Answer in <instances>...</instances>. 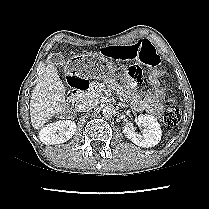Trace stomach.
Returning <instances> with one entry per match:
<instances>
[{
    "label": "stomach",
    "mask_w": 209,
    "mask_h": 209,
    "mask_svg": "<svg viewBox=\"0 0 209 209\" xmlns=\"http://www.w3.org/2000/svg\"><path fill=\"white\" fill-rule=\"evenodd\" d=\"M65 70L73 77L81 76L85 79L96 80L115 74L117 65L110 57L100 53H87L69 57L64 64Z\"/></svg>",
    "instance_id": "obj_1"
}]
</instances>
